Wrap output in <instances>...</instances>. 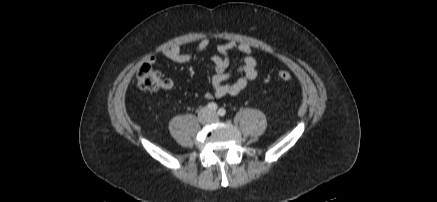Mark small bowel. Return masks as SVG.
I'll return each instance as SVG.
<instances>
[{"mask_svg": "<svg viewBox=\"0 0 437 202\" xmlns=\"http://www.w3.org/2000/svg\"><path fill=\"white\" fill-rule=\"evenodd\" d=\"M209 45L207 39H203L197 45V51H204ZM237 51L242 54L240 58L241 65L238 68V77L233 79L228 71L230 65L229 53ZM218 54L210 57L214 66V75L211 78L212 91L205 93V98L211 100L213 98H222L228 95H237L248 87L250 81L254 80L258 74V62L252 55V47L244 42L228 41L217 46ZM160 53L167 59L175 63H188L192 61L193 55L184 53L180 45L174 44L171 47L162 49ZM152 63L155 62L151 58ZM173 86L171 79H163V89H170Z\"/></svg>", "mask_w": 437, "mask_h": 202, "instance_id": "obj_1", "label": "small bowel"}]
</instances>
